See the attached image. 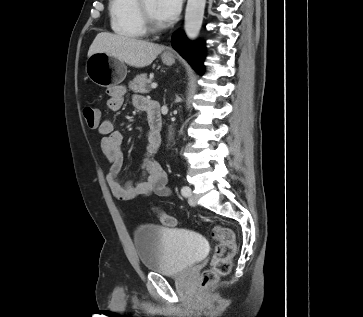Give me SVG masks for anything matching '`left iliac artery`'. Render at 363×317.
I'll use <instances>...</instances> for the list:
<instances>
[{
	"label": "left iliac artery",
	"mask_w": 363,
	"mask_h": 317,
	"mask_svg": "<svg viewBox=\"0 0 363 317\" xmlns=\"http://www.w3.org/2000/svg\"><path fill=\"white\" fill-rule=\"evenodd\" d=\"M190 192V188L188 186H183L181 189V193L183 196L188 197Z\"/></svg>",
	"instance_id": "obj_1"
}]
</instances>
